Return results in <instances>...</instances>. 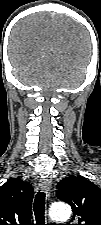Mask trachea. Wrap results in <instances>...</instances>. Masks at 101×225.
<instances>
[{
    "label": "trachea",
    "instance_id": "1",
    "mask_svg": "<svg viewBox=\"0 0 101 225\" xmlns=\"http://www.w3.org/2000/svg\"><path fill=\"white\" fill-rule=\"evenodd\" d=\"M36 225H45V192L39 191L34 200Z\"/></svg>",
    "mask_w": 101,
    "mask_h": 225
}]
</instances>
